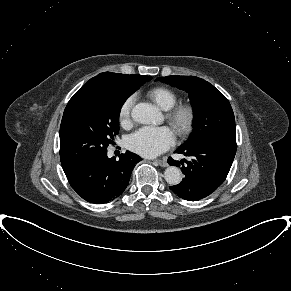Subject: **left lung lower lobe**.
<instances>
[{
	"instance_id": "1",
	"label": "left lung lower lobe",
	"mask_w": 291,
	"mask_h": 291,
	"mask_svg": "<svg viewBox=\"0 0 291 291\" xmlns=\"http://www.w3.org/2000/svg\"><path fill=\"white\" fill-rule=\"evenodd\" d=\"M236 147V137H217L197 145L179 147L175 153L191 160L179 162L168 158L170 165L181 164L185 175L179 184L169 188L185 200L197 201L210 195L225 181Z\"/></svg>"
}]
</instances>
